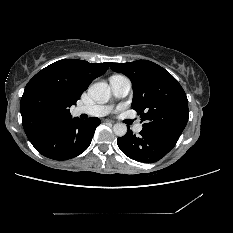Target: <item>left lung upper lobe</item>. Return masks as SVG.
<instances>
[{
  "mask_svg": "<svg viewBox=\"0 0 233 233\" xmlns=\"http://www.w3.org/2000/svg\"><path fill=\"white\" fill-rule=\"evenodd\" d=\"M110 68L128 76L133 86L132 108L143 129L180 137L189 117L188 99L178 81L161 66L148 61L109 63Z\"/></svg>",
  "mask_w": 233,
  "mask_h": 233,
  "instance_id": "1",
  "label": "left lung upper lobe"
}]
</instances>
